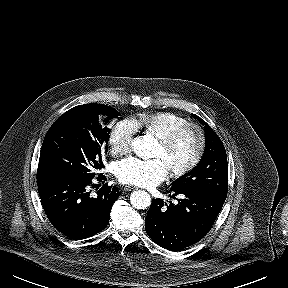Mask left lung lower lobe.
<instances>
[{
    "mask_svg": "<svg viewBox=\"0 0 288 288\" xmlns=\"http://www.w3.org/2000/svg\"><path fill=\"white\" fill-rule=\"evenodd\" d=\"M175 203L153 199L145 219L149 237L168 250H181L200 241L214 224L224 201L198 192L170 190Z\"/></svg>",
    "mask_w": 288,
    "mask_h": 288,
    "instance_id": "obj_1",
    "label": "left lung lower lobe"
}]
</instances>
